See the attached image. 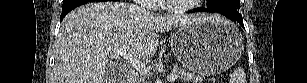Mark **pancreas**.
Listing matches in <instances>:
<instances>
[{"label":"pancreas","instance_id":"cf45deb5","mask_svg":"<svg viewBox=\"0 0 307 83\" xmlns=\"http://www.w3.org/2000/svg\"><path fill=\"white\" fill-rule=\"evenodd\" d=\"M172 74L177 75V77L185 82L189 83H202L203 78L191 72H186L181 70L180 68H176L173 70ZM145 78L140 76L138 79V83H143Z\"/></svg>","mask_w":307,"mask_h":83}]
</instances>
